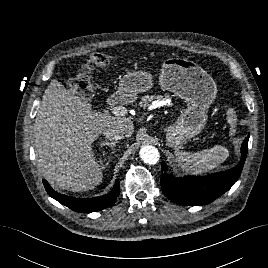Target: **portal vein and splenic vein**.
Here are the masks:
<instances>
[{
	"label": "portal vein and splenic vein",
	"instance_id": "portal-vein-and-splenic-vein-1",
	"mask_svg": "<svg viewBox=\"0 0 268 268\" xmlns=\"http://www.w3.org/2000/svg\"><path fill=\"white\" fill-rule=\"evenodd\" d=\"M112 113L115 116H125L128 113V110L123 106H117L112 109Z\"/></svg>",
	"mask_w": 268,
	"mask_h": 268
}]
</instances>
